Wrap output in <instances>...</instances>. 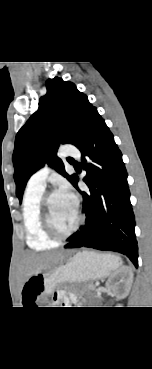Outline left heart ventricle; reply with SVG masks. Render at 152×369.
<instances>
[{"label": "left heart ventricle", "mask_w": 152, "mask_h": 369, "mask_svg": "<svg viewBox=\"0 0 152 369\" xmlns=\"http://www.w3.org/2000/svg\"><path fill=\"white\" fill-rule=\"evenodd\" d=\"M50 210L53 223L58 231L67 232L75 224L76 206L72 205L60 195L55 194L50 199Z\"/></svg>", "instance_id": "b2bd125f"}]
</instances>
